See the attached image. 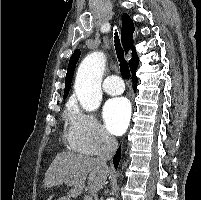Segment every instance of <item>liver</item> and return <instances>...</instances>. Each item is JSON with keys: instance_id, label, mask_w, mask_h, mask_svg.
I'll return each instance as SVG.
<instances>
[{"instance_id": "obj_1", "label": "liver", "mask_w": 201, "mask_h": 200, "mask_svg": "<svg viewBox=\"0 0 201 200\" xmlns=\"http://www.w3.org/2000/svg\"><path fill=\"white\" fill-rule=\"evenodd\" d=\"M109 174L93 157L70 152L57 154L49 166L44 180V188L50 190L66 182H75L73 188L58 200H71L78 197L88 184V191L94 195L104 185Z\"/></svg>"}]
</instances>
